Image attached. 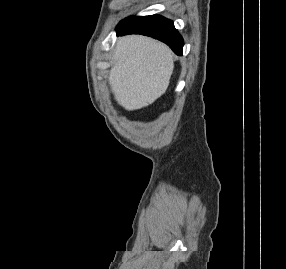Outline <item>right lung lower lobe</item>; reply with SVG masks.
I'll return each mask as SVG.
<instances>
[{
	"mask_svg": "<svg viewBox=\"0 0 286 269\" xmlns=\"http://www.w3.org/2000/svg\"><path fill=\"white\" fill-rule=\"evenodd\" d=\"M143 34L166 43L177 55H182L183 39L173 22L160 15L137 18L131 24L118 28L117 35Z\"/></svg>",
	"mask_w": 286,
	"mask_h": 269,
	"instance_id": "obj_1",
	"label": "right lung lower lobe"
}]
</instances>
